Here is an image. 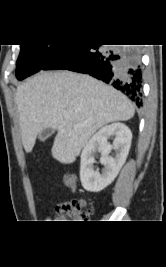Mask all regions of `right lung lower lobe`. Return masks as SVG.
I'll list each match as a JSON object with an SVG mask.
<instances>
[{
  "mask_svg": "<svg viewBox=\"0 0 166 267\" xmlns=\"http://www.w3.org/2000/svg\"><path fill=\"white\" fill-rule=\"evenodd\" d=\"M58 69L88 74L142 105V69L136 48L65 45L41 70Z\"/></svg>",
  "mask_w": 166,
  "mask_h": 267,
  "instance_id": "1",
  "label": "right lung lower lobe"
}]
</instances>
